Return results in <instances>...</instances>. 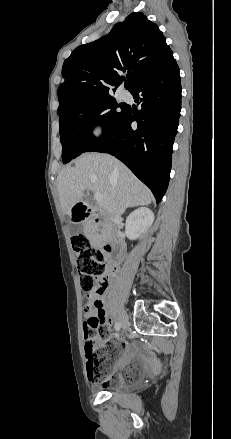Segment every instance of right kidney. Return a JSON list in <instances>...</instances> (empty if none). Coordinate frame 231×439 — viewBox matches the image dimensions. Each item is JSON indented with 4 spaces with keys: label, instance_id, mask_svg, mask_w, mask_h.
<instances>
[{
    "label": "right kidney",
    "instance_id": "right-kidney-1",
    "mask_svg": "<svg viewBox=\"0 0 231 439\" xmlns=\"http://www.w3.org/2000/svg\"><path fill=\"white\" fill-rule=\"evenodd\" d=\"M154 221V213L145 207L133 211L126 219V233L131 240L144 234Z\"/></svg>",
    "mask_w": 231,
    "mask_h": 439
}]
</instances>
